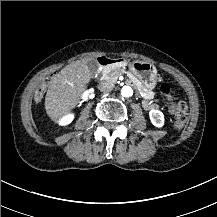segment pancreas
<instances>
[{
  "label": "pancreas",
  "mask_w": 217,
  "mask_h": 217,
  "mask_svg": "<svg viewBox=\"0 0 217 217\" xmlns=\"http://www.w3.org/2000/svg\"><path fill=\"white\" fill-rule=\"evenodd\" d=\"M124 72L123 68H115L111 71H107L104 70L103 76L107 77V79H109L111 82L115 83L118 79V77ZM127 76L129 77V79L132 81V83H134L141 91L142 96L147 97L149 99L154 98L155 93L152 90H149L147 88H144L142 86V84L140 83V81L131 73V72H127Z\"/></svg>",
  "instance_id": "pancreas-1"
}]
</instances>
